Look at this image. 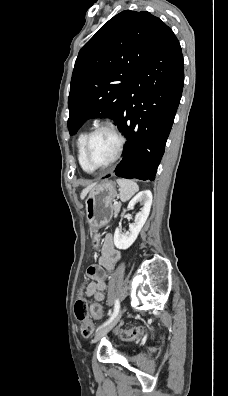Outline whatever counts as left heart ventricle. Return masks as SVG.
<instances>
[{
	"label": "left heart ventricle",
	"instance_id": "left-heart-ventricle-1",
	"mask_svg": "<svg viewBox=\"0 0 228 396\" xmlns=\"http://www.w3.org/2000/svg\"><path fill=\"white\" fill-rule=\"evenodd\" d=\"M117 148V139L109 130L97 132L89 146V158L93 165H104L114 156Z\"/></svg>",
	"mask_w": 228,
	"mask_h": 396
}]
</instances>
